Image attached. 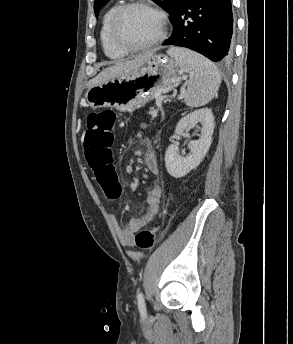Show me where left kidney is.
<instances>
[{
	"label": "left kidney",
	"instance_id": "1",
	"mask_svg": "<svg viewBox=\"0 0 293 344\" xmlns=\"http://www.w3.org/2000/svg\"><path fill=\"white\" fill-rule=\"evenodd\" d=\"M198 122L201 123V136L198 140L190 142V153L187 156L184 157L179 154L175 143H172L166 150V169L175 178H181L195 169L210 148L214 130V116L209 108L198 109L181 118L176 126L174 136L178 138L189 126Z\"/></svg>",
	"mask_w": 293,
	"mask_h": 344
}]
</instances>
